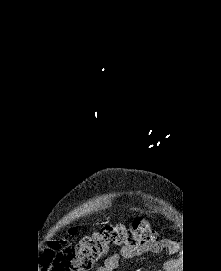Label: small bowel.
Here are the masks:
<instances>
[{
	"instance_id": "small-bowel-1",
	"label": "small bowel",
	"mask_w": 221,
	"mask_h": 271,
	"mask_svg": "<svg viewBox=\"0 0 221 271\" xmlns=\"http://www.w3.org/2000/svg\"><path fill=\"white\" fill-rule=\"evenodd\" d=\"M171 248V241L167 239H155L153 242L145 244L138 248H122L119 252H115L109 256L104 265L97 268V271H115L122 258L131 259L140 256L144 253H161ZM171 262L166 264V267H170Z\"/></svg>"
}]
</instances>
